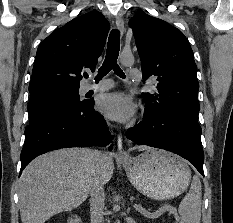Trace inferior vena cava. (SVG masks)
Returning a JSON list of instances; mask_svg holds the SVG:
<instances>
[{"mask_svg":"<svg viewBox=\"0 0 233 223\" xmlns=\"http://www.w3.org/2000/svg\"><path fill=\"white\" fill-rule=\"evenodd\" d=\"M91 157L94 159L89 179L91 223H105L103 211L105 201L104 183L101 173L106 153H101L98 149H92Z\"/></svg>","mask_w":233,"mask_h":223,"instance_id":"inferior-vena-cava-1","label":"inferior vena cava"}]
</instances>
